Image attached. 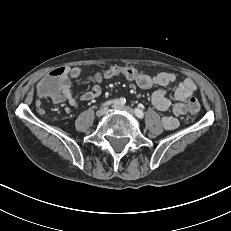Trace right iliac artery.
Wrapping results in <instances>:
<instances>
[{"mask_svg": "<svg viewBox=\"0 0 231 231\" xmlns=\"http://www.w3.org/2000/svg\"><path fill=\"white\" fill-rule=\"evenodd\" d=\"M126 102V100L124 98H120V99H115V100H109L107 102H105L103 104V106H107V105H111V104H114V105H124Z\"/></svg>", "mask_w": 231, "mask_h": 231, "instance_id": "obj_1", "label": "right iliac artery"}]
</instances>
